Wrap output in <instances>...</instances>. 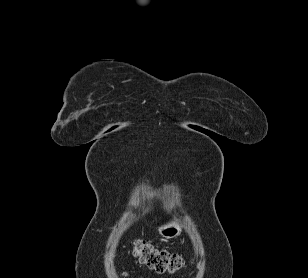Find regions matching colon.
<instances>
[{"label": "colon", "instance_id": "colon-1", "mask_svg": "<svg viewBox=\"0 0 308 278\" xmlns=\"http://www.w3.org/2000/svg\"><path fill=\"white\" fill-rule=\"evenodd\" d=\"M133 253L141 263L159 273H173L184 265V260L180 255L159 249L142 240L133 242Z\"/></svg>", "mask_w": 308, "mask_h": 278}]
</instances>
